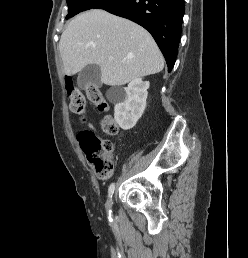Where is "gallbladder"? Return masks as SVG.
Here are the masks:
<instances>
[{
  "mask_svg": "<svg viewBox=\"0 0 248 258\" xmlns=\"http://www.w3.org/2000/svg\"><path fill=\"white\" fill-rule=\"evenodd\" d=\"M79 88L85 90L88 86H99L101 84V69L97 64L86 65L77 78Z\"/></svg>",
  "mask_w": 248,
  "mask_h": 258,
  "instance_id": "bac80fb5",
  "label": "gallbladder"
}]
</instances>
